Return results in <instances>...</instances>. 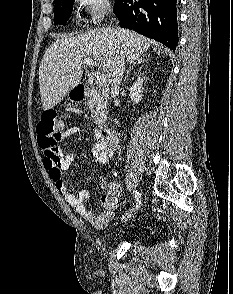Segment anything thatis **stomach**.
I'll use <instances>...</instances> for the list:
<instances>
[{
  "label": "stomach",
  "mask_w": 233,
  "mask_h": 294,
  "mask_svg": "<svg viewBox=\"0 0 233 294\" xmlns=\"http://www.w3.org/2000/svg\"><path fill=\"white\" fill-rule=\"evenodd\" d=\"M68 97H69L71 100H76V98L78 97V94H77V92L73 89V90H71V91L68 93Z\"/></svg>",
  "instance_id": "1"
}]
</instances>
